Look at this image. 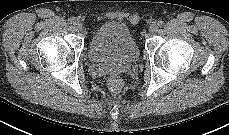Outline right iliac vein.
Returning <instances> with one entry per match:
<instances>
[{"instance_id":"obj_1","label":"right iliac vein","mask_w":229,"mask_h":135,"mask_svg":"<svg viewBox=\"0 0 229 135\" xmlns=\"http://www.w3.org/2000/svg\"><path fill=\"white\" fill-rule=\"evenodd\" d=\"M82 23L81 22H76L74 25V28L76 31H80L82 29Z\"/></svg>"}]
</instances>
